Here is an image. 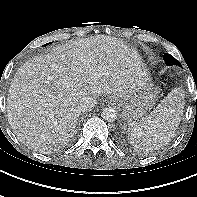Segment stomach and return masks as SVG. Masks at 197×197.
I'll use <instances>...</instances> for the list:
<instances>
[{"instance_id":"stomach-1","label":"stomach","mask_w":197,"mask_h":197,"mask_svg":"<svg viewBox=\"0 0 197 197\" xmlns=\"http://www.w3.org/2000/svg\"><path fill=\"white\" fill-rule=\"evenodd\" d=\"M157 94V89L147 80L127 97L117 99L123 119L126 122L141 119L155 105L158 98Z\"/></svg>"}]
</instances>
